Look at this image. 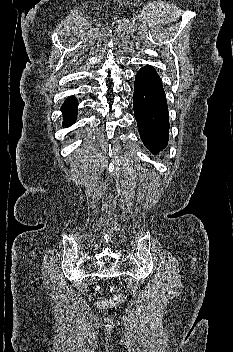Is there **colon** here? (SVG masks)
I'll list each match as a JSON object with an SVG mask.
<instances>
[{
    "instance_id": "colon-1",
    "label": "colon",
    "mask_w": 233,
    "mask_h": 352,
    "mask_svg": "<svg viewBox=\"0 0 233 352\" xmlns=\"http://www.w3.org/2000/svg\"><path fill=\"white\" fill-rule=\"evenodd\" d=\"M122 300H123V297L121 295H116L108 300L101 301L98 304L101 307H113L120 304Z\"/></svg>"
}]
</instances>
